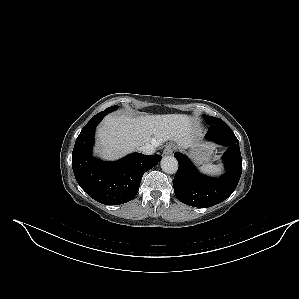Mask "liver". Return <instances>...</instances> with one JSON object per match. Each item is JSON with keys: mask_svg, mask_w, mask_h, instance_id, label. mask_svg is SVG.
Returning <instances> with one entry per match:
<instances>
[{"mask_svg": "<svg viewBox=\"0 0 299 299\" xmlns=\"http://www.w3.org/2000/svg\"><path fill=\"white\" fill-rule=\"evenodd\" d=\"M96 153L115 160L139 149L145 144L156 147L171 140L188 148L197 141L193 120L188 115H145L136 118L127 115H108L97 130Z\"/></svg>", "mask_w": 299, "mask_h": 299, "instance_id": "6515ba94", "label": "liver"}]
</instances>
